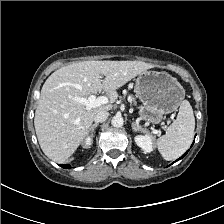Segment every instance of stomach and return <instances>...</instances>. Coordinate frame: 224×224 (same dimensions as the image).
I'll return each instance as SVG.
<instances>
[{
	"mask_svg": "<svg viewBox=\"0 0 224 224\" xmlns=\"http://www.w3.org/2000/svg\"><path fill=\"white\" fill-rule=\"evenodd\" d=\"M135 92L142 102L140 117L153 124L162 121L180 106L185 90L177 79L166 72L144 71L136 79Z\"/></svg>",
	"mask_w": 224,
	"mask_h": 224,
	"instance_id": "0dacf381",
	"label": "stomach"
}]
</instances>
